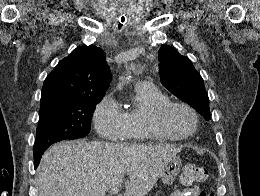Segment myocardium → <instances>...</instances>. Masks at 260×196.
<instances>
[{
	"label": "myocardium",
	"instance_id": "1",
	"mask_svg": "<svg viewBox=\"0 0 260 196\" xmlns=\"http://www.w3.org/2000/svg\"><path fill=\"white\" fill-rule=\"evenodd\" d=\"M173 107H180L188 111L194 119V127L189 132L183 135L171 134L162 126L161 123L162 117L170 108ZM197 122H198V114L197 111L192 106L182 101H173V100H167L155 106L151 114L145 120L148 129L158 134L163 140H171V141L189 140L197 131Z\"/></svg>",
	"mask_w": 260,
	"mask_h": 196
}]
</instances>
